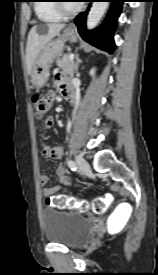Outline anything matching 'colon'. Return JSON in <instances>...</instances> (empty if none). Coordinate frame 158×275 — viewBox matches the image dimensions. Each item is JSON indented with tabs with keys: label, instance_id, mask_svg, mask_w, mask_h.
I'll list each match as a JSON object with an SVG mask.
<instances>
[{
	"label": "colon",
	"instance_id": "obj_1",
	"mask_svg": "<svg viewBox=\"0 0 158 275\" xmlns=\"http://www.w3.org/2000/svg\"><path fill=\"white\" fill-rule=\"evenodd\" d=\"M32 102L35 117L37 119H43L50 109V98L42 94H35ZM112 200L113 196L110 193L95 198L92 201L78 200L71 196L58 195L47 197L45 203L48 207L55 209H77L81 212L92 211L96 214H102L107 210Z\"/></svg>",
	"mask_w": 158,
	"mask_h": 275
}]
</instances>
